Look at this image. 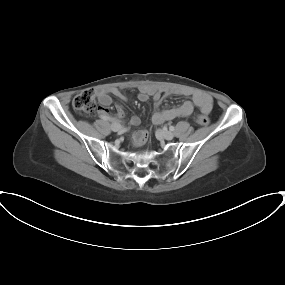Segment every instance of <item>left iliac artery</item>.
Masks as SVG:
<instances>
[{
  "instance_id": "44dca946",
  "label": "left iliac artery",
  "mask_w": 285,
  "mask_h": 285,
  "mask_svg": "<svg viewBox=\"0 0 285 285\" xmlns=\"http://www.w3.org/2000/svg\"><path fill=\"white\" fill-rule=\"evenodd\" d=\"M169 129H170V131H174L175 127L174 126H170Z\"/></svg>"
}]
</instances>
